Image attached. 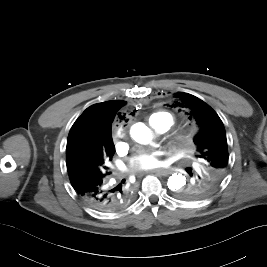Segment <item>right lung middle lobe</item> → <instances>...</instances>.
I'll use <instances>...</instances> for the list:
<instances>
[{
  "mask_svg": "<svg viewBox=\"0 0 267 267\" xmlns=\"http://www.w3.org/2000/svg\"><path fill=\"white\" fill-rule=\"evenodd\" d=\"M114 151L111 138L99 144H85L78 150L67 151V171L71 184L85 178L108 177L111 174L109 162Z\"/></svg>",
  "mask_w": 267,
  "mask_h": 267,
  "instance_id": "obj_1",
  "label": "right lung middle lobe"
}]
</instances>
